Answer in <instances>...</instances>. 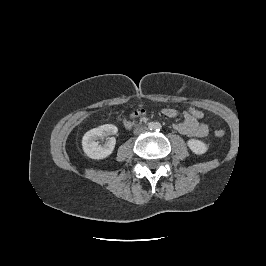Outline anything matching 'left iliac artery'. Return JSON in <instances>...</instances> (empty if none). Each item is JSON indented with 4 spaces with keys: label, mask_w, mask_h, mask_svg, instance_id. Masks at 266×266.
<instances>
[{
    "label": "left iliac artery",
    "mask_w": 266,
    "mask_h": 266,
    "mask_svg": "<svg viewBox=\"0 0 266 266\" xmlns=\"http://www.w3.org/2000/svg\"><path fill=\"white\" fill-rule=\"evenodd\" d=\"M158 128H159V130H160V125H158Z\"/></svg>",
    "instance_id": "obj_1"
}]
</instances>
